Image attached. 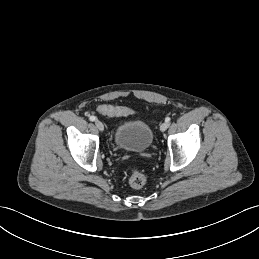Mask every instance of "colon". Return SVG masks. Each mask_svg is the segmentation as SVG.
Returning a JSON list of instances; mask_svg holds the SVG:
<instances>
[{"label":"colon","instance_id":"colon-1","mask_svg":"<svg viewBox=\"0 0 259 259\" xmlns=\"http://www.w3.org/2000/svg\"><path fill=\"white\" fill-rule=\"evenodd\" d=\"M99 113L108 116H128L134 114L136 111L126 106L102 105L98 109ZM147 182V176L139 171L134 170L129 174L128 183L132 188H142Z\"/></svg>","mask_w":259,"mask_h":259}]
</instances>
